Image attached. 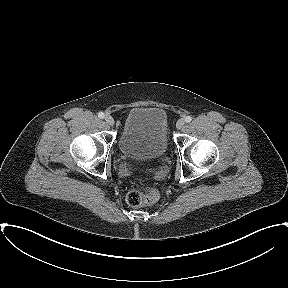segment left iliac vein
<instances>
[{"instance_id": "4c4485c4", "label": "left iliac vein", "mask_w": 288, "mask_h": 288, "mask_svg": "<svg viewBox=\"0 0 288 288\" xmlns=\"http://www.w3.org/2000/svg\"><path fill=\"white\" fill-rule=\"evenodd\" d=\"M184 125H185V120H184V119H179V120L177 121V123H176V127H177L178 129H182V128L184 127Z\"/></svg>"}]
</instances>
